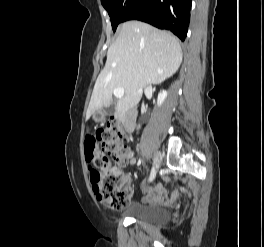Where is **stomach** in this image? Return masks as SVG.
<instances>
[{"instance_id":"obj_1","label":"stomach","mask_w":264,"mask_h":247,"mask_svg":"<svg viewBox=\"0 0 264 247\" xmlns=\"http://www.w3.org/2000/svg\"><path fill=\"white\" fill-rule=\"evenodd\" d=\"M97 114L99 115L98 116V121H99L100 120L101 111H98Z\"/></svg>"}]
</instances>
